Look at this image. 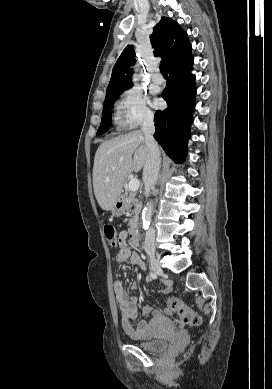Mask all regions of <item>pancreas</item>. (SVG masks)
I'll return each instance as SVG.
<instances>
[{
    "mask_svg": "<svg viewBox=\"0 0 272 389\" xmlns=\"http://www.w3.org/2000/svg\"><path fill=\"white\" fill-rule=\"evenodd\" d=\"M124 199H125V210L127 212H131V214L133 215V217L130 219L128 223L129 230H131L137 226V221L141 210V202L136 197V193L132 191L126 192ZM132 207H134L133 210H131Z\"/></svg>",
    "mask_w": 272,
    "mask_h": 389,
    "instance_id": "obj_1",
    "label": "pancreas"
}]
</instances>
